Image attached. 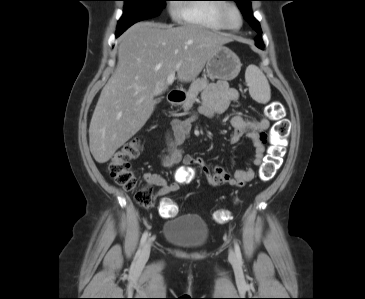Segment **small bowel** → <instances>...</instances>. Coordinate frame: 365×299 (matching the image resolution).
Here are the masks:
<instances>
[{
  "instance_id": "small-bowel-1",
  "label": "small bowel",
  "mask_w": 365,
  "mask_h": 299,
  "mask_svg": "<svg viewBox=\"0 0 365 299\" xmlns=\"http://www.w3.org/2000/svg\"><path fill=\"white\" fill-rule=\"evenodd\" d=\"M238 97V91L230 88L224 82L211 84L203 93V103L199 107L198 113L201 116L213 117L223 113L232 102L237 101ZM192 120L193 117L186 120L175 119L172 122V138L168 142V153L162 156V164L171 168L182 163L174 180L169 181L158 173H146L144 175L148 184L159 187L156 192L157 197L162 198L178 191L185 180L191 177L194 167L200 168L212 186L224 184L232 187H243L254 178L255 172L251 167L229 173L221 166L211 167L200 158L185 156L182 146L190 135ZM231 125L234 129L230 137L231 143H237L241 138L247 137L255 147L253 164L255 166L260 165L266 152L267 137L265 132L269 127L268 119H246L241 115H234L231 118Z\"/></svg>"
}]
</instances>
